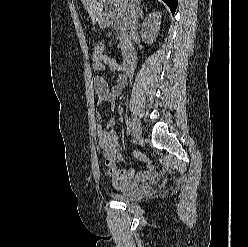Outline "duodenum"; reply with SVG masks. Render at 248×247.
<instances>
[{
    "label": "duodenum",
    "instance_id": "1",
    "mask_svg": "<svg viewBox=\"0 0 248 247\" xmlns=\"http://www.w3.org/2000/svg\"><path fill=\"white\" fill-rule=\"evenodd\" d=\"M103 21L107 24L112 26L114 24L113 18L110 14L104 13L102 15ZM138 61V55L133 46H128L126 52H125V58H124V63H123V69L124 72H131L132 70L135 69Z\"/></svg>",
    "mask_w": 248,
    "mask_h": 247
}]
</instances>
